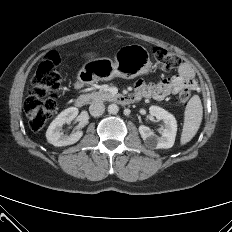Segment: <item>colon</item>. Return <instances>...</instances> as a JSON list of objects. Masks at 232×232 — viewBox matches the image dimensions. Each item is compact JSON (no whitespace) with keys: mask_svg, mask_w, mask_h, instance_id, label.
<instances>
[{"mask_svg":"<svg viewBox=\"0 0 232 232\" xmlns=\"http://www.w3.org/2000/svg\"><path fill=\"white\" fill-rule=\"evenodd\" d=\"M156 65L165 71L177 67L179 57L162 47L153 48ZM60 57L56 51H50L39 65L32 79V89L28 93L24 109L32 131H40L55 112V98L61 87L59 72ZM192 95V87H183L178 94L180 104L186 105Z\"/></svg>","mask_w":232,"mask_h":232,"instance_id":"colon-1","label":"colon"}]
</instances>
